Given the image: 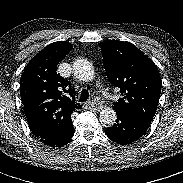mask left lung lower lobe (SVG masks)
Returning a JSON list of instances; mask_svg holds the SVG:
<instances>
[{
    "instance_id": "left-lung-lower-lobe-1",
    "label": "left lung lower lobe",
    "mask_w": 183,
    "mask_h": 183,
    "mask_svg": "<svg viewBox=\"0 0 183 183\" xmlns=\"http://www.w3.org/2000/svg\"><path fill=\"white\" fill-rule=\"evenodd\" d=\"M116 123L106 129L107 137L119 144L125 145L132 143L142 137L150 123L139 117L116 113Z\"/></svg>"
}]
</instances>
